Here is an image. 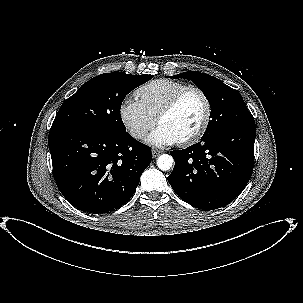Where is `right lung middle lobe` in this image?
Segmentation results:
<instances>
[{
	"label": "right lung middle lobe",
	"mask_w": 303,
	"mask_h": 303,
	"mask_svg": "<svg viewBox=\"0 0 303 303\" xmlns=\"http://www.w3.org/2000/svg\"><path fill=\"white\" fill-rule=\"evenodd\" d=\"M153 78L112 72L98 75L83 84L62 104L50 132L90 130L109 134L126 132L120 107L126 95Z\"/></svg>",
	"instance_id": "1"
}]
</instances>
